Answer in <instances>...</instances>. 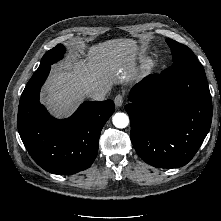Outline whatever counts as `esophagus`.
I'll use <instances>...</instances> for the list:
<instances>
[{"mask_svg":"<svg viewBox=\"0 0 221 221\" xmlns=\"http://www.w3.org/2000/svg\"><path fill=\"white\" fill-rule=\"evenodd\" d=\"M114 103L116 107H120L123 104V95L118 94L115 99H114Z\"/></svg>","mask_w":221,"mask_h":221,"instance_id":"1","label":"esophagus"}]
</instances>
